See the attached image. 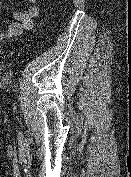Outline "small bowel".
<instances>
[{
    "label": "small bowel",
    "mask_w": 131,
    "mask_h": 177,
    "mask_svg": "<svg viewBox=\"0 0 131 177\" xmlns=\"http://www.w3.org/2000/svg\"><path fill=\"white\" fill-rule=\"evenodd\" d=\"M30 6L24 11H16L13 14V20L6 28L0 29V41L9 40L18 37L24 31L32 28L34 20L39 15V8L36 0H28Z\"/></svg>",
    "instance_id": "1"
}]
</instances>
